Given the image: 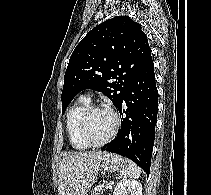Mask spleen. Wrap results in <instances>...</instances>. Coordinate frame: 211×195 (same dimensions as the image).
<instances>
[{
  "label": "spleen",
  "instance_id": "obj_1",
  "mask_svg": "<svg viewBox=\"0 0 211 195\" xmlns=\"http://www.w3.org/2000/svg\"><path fill=\"white\" fill-rule=\"evenodd\" d=\"M120 174L125 178H139L141 169L134 162L128 160L125 169H123Z\"/></svg>",
  "mask_w": 211,
  "mask_h": 195
}]
</instances>
